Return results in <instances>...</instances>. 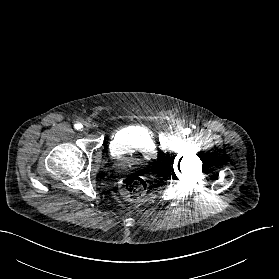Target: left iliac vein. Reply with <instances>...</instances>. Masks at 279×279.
Instances as JSON below:
<instances>
[{"mask_svg":"<svg viewBox=\"0 0 279 279\" xmlns=\"http://www.w3.org/2000/svg\"><path fill=\"white\" fill-rule=\"evenodd\" d=\"M175 135H177L179 137H183L184 136V129H183V127H181V126L176 127Z\"/></svg>","mask_w":279,"mask_h":279,"instance_id":"obj_1","label":"left iliac vein"}]
</instances>
